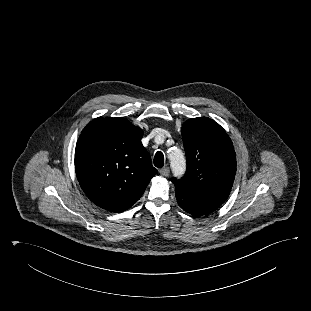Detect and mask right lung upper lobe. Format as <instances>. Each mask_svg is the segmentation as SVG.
Wrapping results in <instances>:
<instances>
[{"instance_id": "cb5924a9", "label": "right lung upper lobe", "mask_w": 311, "mask_h": 311, "mask_svg": "<svg viewBox=\"0 0 311 311\" xmlns=\"http://www.w3.org/2000/svg\"><path fill=\"white\" fill-rule=\"evenodd\" d=\"M143 130L127 119L92 120L75 148L80 186L97 206L112 212L129 209L158 171L141 142Z\"/></svg>"}]
</instances>
